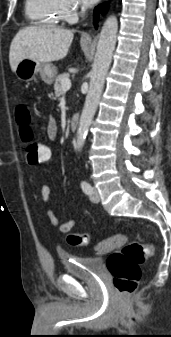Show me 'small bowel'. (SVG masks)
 Listing matches in <instances>:
<instances>
[{
	"label": "small bowel",
	"mask_w": 171,
	"mask_h": 337,
	"mask_svg": "<svg viewBox=\"0 0 171 337\" xmlns=\"http://www.w3.org/2000/svg\"><path fill=\"white\" fill-rule=\"evenodd\" d=\"M46 134L50 140H55L58 136V126L54 118H49L46 124ZM49 149V148H48ZM41 197L44 203H48L50 200L51 189L49 185L42 184L40 188ZM47 217L52 226L56 227L60 232H69L77 223L78 216L72 217L66 222H60L55 212L51 209L47 210Z\"/></svg>",
	"instance_id": "c3829d8e"
}]
</instances>
